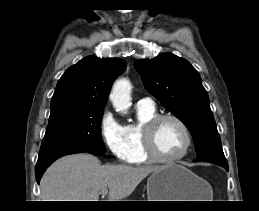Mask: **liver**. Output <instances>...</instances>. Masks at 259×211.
I'll use <instances>...</instances> for the list:
<instances>
[{
    "mask_svg": "<svg viewBox=\"0 0 259 211\" xmlns=\"http://www.w3.org/2000/svg\"><path fill=\"white\" fill-rule=\"evenodd\" d=\"M162 166L101 165L91 154L65 156L53 163L41 182L42 201H99L102 190L107 201H122L139 183Z\"/></svg>",
    "mask_w": 259,
    "mask_h": 211,
    "instance_id": "1",
    "label": "liver"
}]
</instances>
